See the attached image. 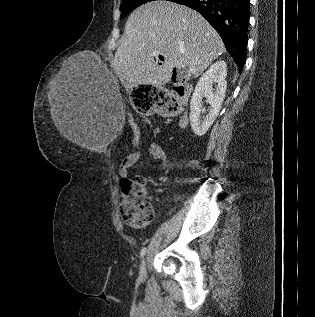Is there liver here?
<instances>
[{
  "label": "liver",
  "instance_id": "obj_1",
  "mask_svg": "<svg viewBox=\"0 0 315 317\" xmlns=\"http://www.w3.org/2000/svg\"><path fill=\"white\" fill-rule=\"evenodd\" d=\"M224 51L220 36L199 13L158 0L140 6L129 16L113 69L126 89L140 84L158 87L171 80L173 68L194 67L195 72H188V76L198 77ZM158 55L164 56L162 65L154 60ZM62 82L50 99L52 120L65 138L84 146L69 80Z\"/></svg>",
  "mask_w": 315,
  "mask_h": 317
}]
</instances>
